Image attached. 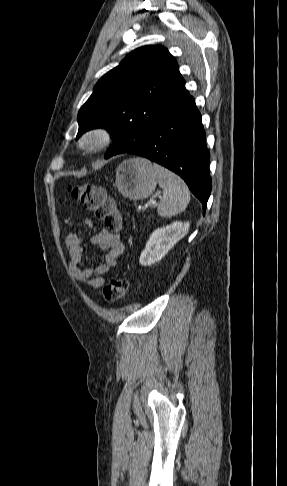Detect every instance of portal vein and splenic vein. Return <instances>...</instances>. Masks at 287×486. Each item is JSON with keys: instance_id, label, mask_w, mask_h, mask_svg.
I'll use <instances>...</instances> for the list:
<instances>
[{"instance_id": "1", "label": "portal vein and splenic vein", "mask_w": 287, "mask_h": 486, "mask_svg": "<svg viewBox=\"0 0 287 486\" xmlns=\"http://www.w3.org/2000/svg\"><path fill=\"white\" fill-rule=\"evenodd\" d=\"M156 204V201H149L148 203L145 204V207H150Z\"/></svg>"}]
</instances>
